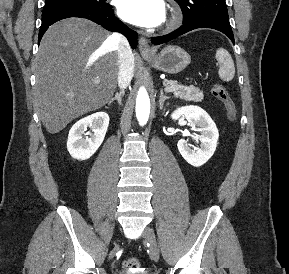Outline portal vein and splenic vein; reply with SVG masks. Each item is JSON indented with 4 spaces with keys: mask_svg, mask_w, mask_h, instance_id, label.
I'll use <instances>...</instances> for the list:
<instances>
[{
    "mask_svg": "<svg viewBox=\"0 0 289 274\" xmlns=\"http://www.w3.org/2000/svg\"><path fill=\"white\" fill-rule=\"evenodd\" d=\"M174 88H172V87H168V86H165V88H164V90L166 91V92H170V91H172Z\"/></svg>",
    "mask_w": 289,
    "mask_h": 274,
    "instance_id": "portal-vein-and-splenic-vein-1",
    "label": "portal vein and splenic vein"
}]
</instances>
